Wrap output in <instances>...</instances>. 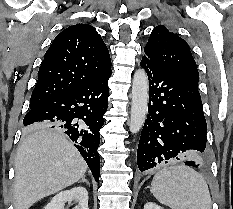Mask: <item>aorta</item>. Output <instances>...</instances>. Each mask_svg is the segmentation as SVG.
<instances>
[{
  "mask_svg": "<svg viewBox=\"0 0 233 209\" xmlns=\"http://www.w3.org/2000/svg\"><path fill=\"white\" fill-rule=\"evenodd\" d=\"M148 77L144 69H138L132 81V103L129 122L130 132L135 134L142 128L148 109Z\"/></svg>",
  "mask_w": 233,
  "mask_h": 209,
  "instance_id": "762f6f07",
  "label": "aorta"
}]
</instances>
